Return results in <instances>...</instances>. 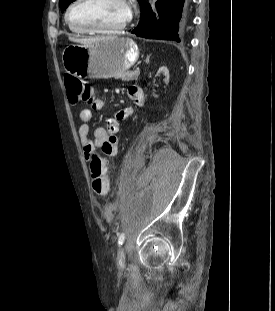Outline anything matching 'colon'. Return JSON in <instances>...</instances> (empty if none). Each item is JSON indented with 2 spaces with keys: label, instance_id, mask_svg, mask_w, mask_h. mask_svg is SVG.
Segmentation results:
<instances>
[{
  "label": "colon",
  "instance_id": "obj_1",
  "mask_svg": "<svg viewBox=\"0 0 275 311\" xmlns=\"http://www.w3.org/2000/svg\"><path fill=\"white\" fill-rule=\"evenodd\" d=\"M69 102L72 105L89 103L93 100V89L90 84L83 82L69 74L64 76ZM91 182L93 191L104 196L109 192L110 180L105 161L95 156L91 163Z\"/></svg>",
  "mask_w": 275,
  "mask_h": 311
}]
</instances>
